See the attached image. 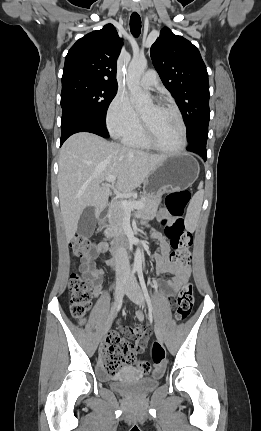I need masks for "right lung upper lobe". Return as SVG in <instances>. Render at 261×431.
Segmentation results:
<instances>
[{
    "label": "right lung upper lobe",
    "mask_w": 261,
    "mask_h": 431,
    "mask_svg": "<svg viewBox=\"0 0 261 431\" xmlns=\"http://www.w3.org/2000/svg\"><path fill=\"white\" fill-rule=\"evenodd\" d=\"M121 47L122 39L112 24L85 35L66 55L62 79L86 76L118 87L116 69Z\"/></svg>",
    "instance_id": "right-lung-upper-lobe-1"
}]
</instances>
